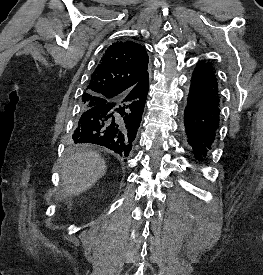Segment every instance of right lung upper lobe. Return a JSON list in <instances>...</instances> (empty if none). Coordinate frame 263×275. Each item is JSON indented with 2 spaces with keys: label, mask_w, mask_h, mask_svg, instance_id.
<instances>
[{
  "label": "right lung upper lobe",
  "mask_w": 263,
  "mask_h": 275,
  "mask_svg": "<svg viewBox=\"0 0 263 275\" xmlns=\"http://www.w3.org/2000/svg\"><path fill=\"white\" fill-rule=\"evenodd\" d=\"M148 55L133 41L110 45L91 76L87 93L103 100L116 94L128 96L130 108L142 113L145 106Z\"/></svg>",
  "instance_id": "obj_1"
}]
</instances>
